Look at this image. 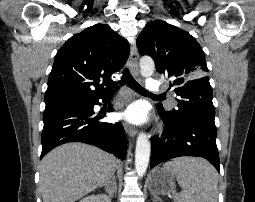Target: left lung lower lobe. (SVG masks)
<instances>
[{"mask_svg":"<svg viewBox=\"0 0 255 202\" xmlns=\"http://www.w3.org/2000/svg\"><path fill=\"white\" fill-rule=\"evenodd\" d=\"M159 114L165 129L161 138H151L150 168L175 157L198 156L207 159L220 171L215 123L201 118L174 121Z\"/></svg>","mask_w":255,"mask_h":202,"instance_id":"0a47b994","label":"left lung lower lobe"}]
</instances>
